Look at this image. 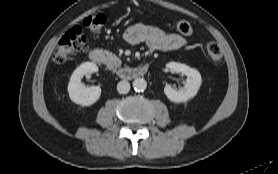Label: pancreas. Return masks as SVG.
<instances>
[{"instance_id":"1","label":"pancreas","mask_w":278,"mask_h":174,"mask_svg":"<svg viewBox=\"0 0 278 174\" xmlns=\"http://www.w3.org/2000/svg\"><path fill=\"white\" fill-rule=\"evenodd\" d=\"M115 60H116L115 55H113L112 53L108 52L107 53V61H106L108 67L113 68L114 66H116V67L120 66L121 62L118 61V63L115 64Z\"/></svg>"}]
</instances>
